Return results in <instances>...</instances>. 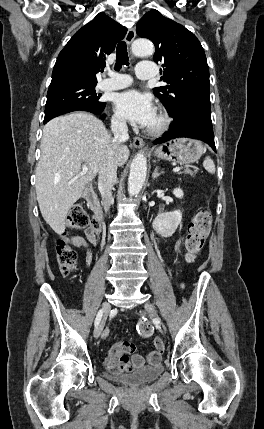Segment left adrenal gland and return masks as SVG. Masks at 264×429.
I'll return each instance as SVG.
<instances>
[{"label":"left adrenal gland","mask_w":264,"mask_h":429,"mask_svg":"<svg viewBox=\"0 0 264 429\" xmlns=\"http://www.w3.org/2000/svg\"><path fill=\"white\" fill-rule=\"evenodd\" d=\"M161 174H162V172H158V167H156L153 174H152V178L155 179V178L159 177Z\"/></svg>","instance_id":"left-adrenal-gland-1"}]
</instances>
